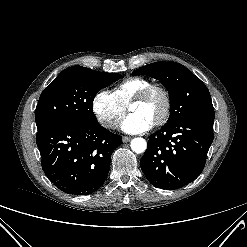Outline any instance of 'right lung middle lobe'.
Returning a JSON list of instances; mask_svg holds the SVG:
<instances>
[{"instance_id": "dd1d6c3e", "label": "right lung middle lobe", "mask_w": 247, "mask_h": 247, "mask_svg": "<svg viewBox=\"0 0 247 247\" xmlns=\"http://www.w3.org/2000/svg\"><path fill=\"white\" fill-rule=\"evenodd\" d=\"M120 78L117 73H102L82 66L63 70L40 95L35 112L37 128L59 121L96 122L95 95Z\"/></svg>"}]
</instances>
